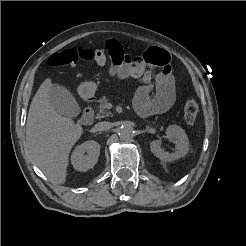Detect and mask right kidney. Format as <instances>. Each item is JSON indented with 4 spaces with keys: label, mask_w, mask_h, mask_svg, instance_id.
Instances as JSON below:
<instances>
[{
    "label": "right kidney",
    "mask_w": 246,
    "mask_h": 246,
    "mask_svg": "<svg viewBox=\"0 0 246 246\" xmlns=\"http://www.w3.org/2000/svg\"><path fill=\"white\" fill-rule=\"evenodd\" d=\"M100 154V144L90 140L77 146L72 153L71 163L73 167L82 172L94 167Z\"/></svg>",
    "instance_id": "ca27d5eb"
}]
</instances>
